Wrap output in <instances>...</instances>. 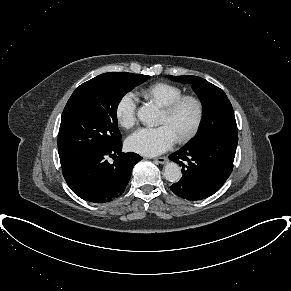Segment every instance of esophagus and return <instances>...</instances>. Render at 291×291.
Wrapping results in <instances>:
<instances>
[{
    "label": "esophagus",
    "instance_id": "esophagus-1",
    "mask_svg": "<svg viewBox=\"0 0 291 291\" xmlns=\"http://www.w3.org/2000/svg\"><path fill=\"white\" fill-rule=\"evenodd\" d=\"M155 161L160 163V164H165L167 162V157H165V156L157 157V158H155Z\"/></svg>",
    "mask_w": 291,
    "mask_h": 291
}]
</instances>
